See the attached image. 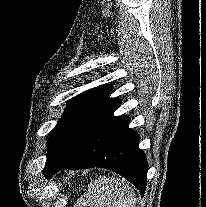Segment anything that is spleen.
<instances>
[{
	"label": "spleen",
	"instance_id": "3e777b00",
	"mask_svg": "<svg viewBox=\"0 0 206 207\" xmlns=\"http://www.w3.org/2000/svg\"><path fill=\"white\" fill-rule=\"evenodd\" d=\"M136 194L123 180L100 176L91 181L74 207H135Z\"/></svg>",
	"mask_w": 206,
	"mask_h": 207
}]
</instances>
